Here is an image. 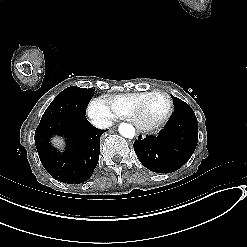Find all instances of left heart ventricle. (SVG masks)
<instances>
[{
    "label": "left heart ventricle",
    "instance_id": "1",
    "mask_svg": "<svg viewBox=\"0 0 247 247\" xmlns=\"http://www.w3.org/2000/svg\"><path fill=\"white\" fill-rule=\"evenodd\" d=\"M166 104V99L162 96H154L147 102V113L152 116H158Z\"/></svg>",
    "mask_w": 247,
    "mask_h": 247
}]
</instances>
